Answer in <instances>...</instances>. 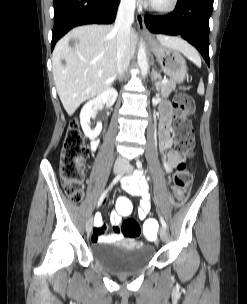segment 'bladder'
<instances>
[{"instance_id":"bladder-1","label":"bladder","mask_w":247,"mask_h":304,"mask_svg":"<svg viewBox=\"0 0 247 304\" xmlns=\"http://www.w3.org/2000/svg\"><path fill=\"white\" fill-rule=\"evenodd\" d=\"M95 262L115 273L142 270L153 259L155 248L146 244L128 241L97 242L91 246Z\"/></svg>"}]
</instances>
